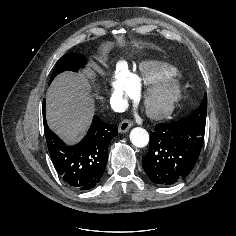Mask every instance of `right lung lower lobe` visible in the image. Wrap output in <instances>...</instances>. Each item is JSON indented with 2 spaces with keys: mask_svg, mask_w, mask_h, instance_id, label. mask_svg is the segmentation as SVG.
Returning a JSON list of instances; mask_svg holds the SVG:
<instances>
[{
  "mask_svg": "<svg viewBox=\"0 0 236 236\" xmlns=\"http://www.w3.org/2000/svg\"><path fill=\"white\" fill-rule=\"evenodd\" d=\"M43 122L48 150L58 174L77 190L95 187L105 171L109 143L118 135L117 126L94 116L92 125L81 142L66 146L46 123L45 100Z\"/></svg>",
  "mask_w": 236,
  "mask_h": 236,
  "instance_id": "right-lung-lower-lobe-1",
  "label": "right lung lower lobe"
}]
</instances>
